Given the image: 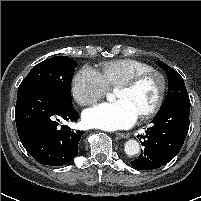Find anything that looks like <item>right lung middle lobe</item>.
<instances>
[{"label":"right lung middle lobe","instance_id":"dd1d6c3e","mask_svg":"<svg viewBox=\"0 0 201 201\" xmlns=\"http://www.w3.org/2000/svg\"><path fill=\"white\" fill-rule=\"evenodd\" d=\"M77 63L68 56H55L35 65L21 82L17 95L42 88L72 104L70 87Z\"/></svg>","mask_w":201,"mask_h":201}]
</instances>
